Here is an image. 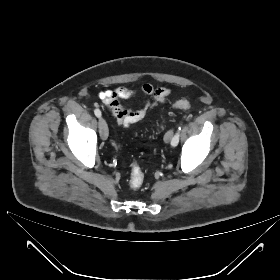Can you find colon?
<instances>
[{
    "instance_id": "obj_1",
    "label": "colon",
    "mask_w": 280,
    "mask_h": 280,
    "mask_svg": "<svg viewBox=\"0 0 280 280\" xmlns=\"http://www.w3.org/2000/svg\"><path fill=\"white\" fill-rule=\"evenodd\" d=\"M174 107L182 110H187L190 109L191 104L187 100H179L174 104ZM143 182L144 174L141 168L138 165H133L129 179L130 187L134 190H138L143 185Z\"/></svg>"
}]
</instances>
